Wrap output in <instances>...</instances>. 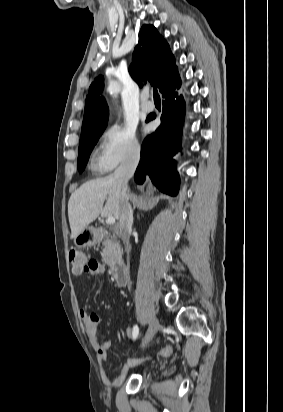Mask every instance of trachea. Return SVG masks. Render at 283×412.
<instances>
[{
	"instance_id": "3493384b",
	"label": "trachea",
	"mask_w": 283,
	"mask_h": 412,
	"mask_svg": "<svg viewBox=\"0 0 283 412\" xmlns=\"http://www.w3.org/2000/svg\"><path fill=\"white\" fill-rule=\"evenodd\" d=\"M153 97L155 102H160V96L156 88L153 89Z\"/></svg>"
}]
</instances>
